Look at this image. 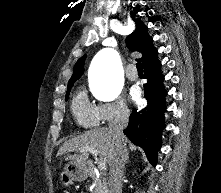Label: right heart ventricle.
Returning <instances> with one entry per match:
<instances>
[{
    "label": "right heart ventricle",
    "mask_w": 221,
    "mask_h": 193,
    "mask_svg": "<svg viewBox=\"0 0 221 193\" xmlns=\"http://www.w3.org/2000/svg\"><path fill=\"white\" fill-rule=\"evenodd\" d=\"M72 113L82 127H95L99 124L97 106L89 101L84 92H78L72 100Z\"/></svg>",
    "instance_id": "e07e8e85"
}]
</instances>
